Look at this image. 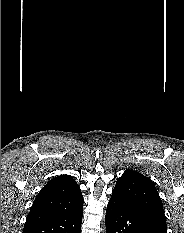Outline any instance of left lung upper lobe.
I'll use <instances>...</instances> for the list:
<instances>
[{
    "label": "left lung upper lobe",
    "instance_id": "obj_1",
    "mask_svg": "<svg viewBox=\"0 0 184 233\" xmlns=\"http://www.w3.org/2000/svg\"><path fill=\"white\" fill-rule=\"evenodd\" d=\"M112 196L135 209L156 233H167L162 201L150 178L127 169L117 180Z\"/></svg>",
    "mask_w": 184,
    "mask_h": 233
}]
</instances>
